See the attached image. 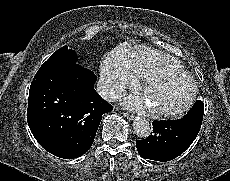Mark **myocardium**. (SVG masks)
<instances>
[{
    "label": "myocardium",
    "instance_id": "myocardium-1",
    "mask_svg": "<svg viewBox=\"0 0 230 181\" xmlns=\"http://www.w3.org/2000/svg\"><path fill=\"white\" fill-rule=\"evenodd\" d=\"M168 77L187 80L191 85V92L187 100L180 107L171 110L154 109L153 113L161 117H177L183 114L184 112H186L192 106L197 96V84L195 80L187 72L172 71V70H160V71L153 72L142 79V82L140 84V90L144 92L148 87V85H150L152 82Z\"/></svg>",
    "mask_w": 230,
    "mask_h": 181
}]
</instances>
